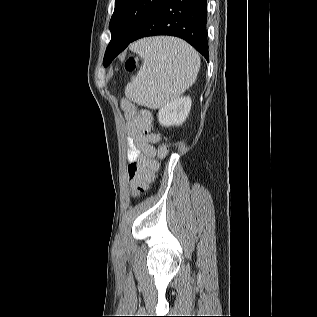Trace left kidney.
Wrapping results in <instances>:
<instances>
[{
    "instance_id": "5707ae66",
    "label": "left kidney",
    "mask_w": 317,
    "mask_h": 317,
    "mask_svg": "<svg viewBox=\"0 0 317 317\" xmlns=\"http://www.w3.org/2000/svg\"><path fill=\"white\" fill-rule=\"evenodd\" d=\"M191 104V98L187 96L177 98L161 107L158 112L160 125L165 127L182 125L190 112Z\"/></svg>"
}]
</instances>
